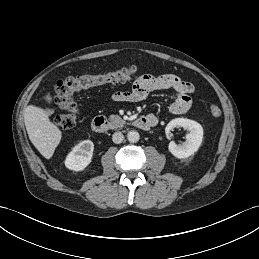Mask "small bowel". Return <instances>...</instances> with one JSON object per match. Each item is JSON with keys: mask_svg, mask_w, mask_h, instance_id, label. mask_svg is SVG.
I'll list each match as a JSON object with an SVG mask.
<instances>
[{"mask_svg": "<svg viewBox=\"0 0 259 259\" xmlns=\"http://www.w3.org/2000/svg\"><path fill=\"white\" fill-rule=\"evenodd\" d=\"M159 90H171L175 93V100L171 103L169 109L174 114L185 113L192 105V94L194 86L174 74H163L154 76L145 74L138 77L130 89L117 91L112 98L115 101L140 102L147 98L149 93ZM51 93L47 92L42 99H48ZM47 114H52L53 109L45 110ZM148 116L156 117L154 113Z\"/></svg>", "mask_w": 259, "mask_h": 259, "instance_id": "obj_1", "label": "small bowel"}]
</instances>
